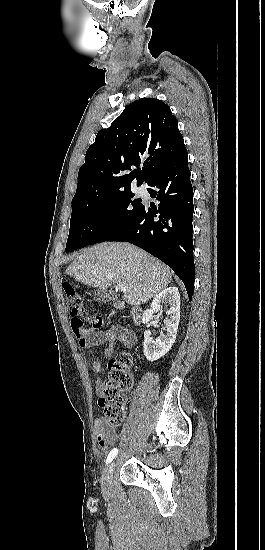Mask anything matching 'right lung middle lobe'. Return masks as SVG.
<instances>
[{"mask_svg":"<svg viewBox=\"0 0 265 550\" xmlns=\"http://www.w3.org/2000/svg\"><path fill=\"white\" fill-rule=\"evenodd\" d=\"M131 190L91 199L73 198L65 251L105 241L131 222L144 208Z\"/></svg>","mask_w":265,"mask_h":550,"instance_id":"right-lung-middle-lobe-1","label":"right lung middle lobe"}]
</instances>
